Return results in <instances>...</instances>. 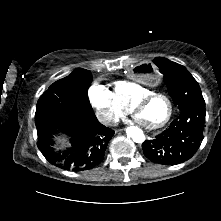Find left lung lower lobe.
Wrapping results in <instances>:
<instances>
[{"instance_id": "1", "label": "left lung lower lobe", "mask_w": 221, "mask_h": 221, "mask_svg": "<svg viewBox=\"0 0 221 221\" xmlns=\"http://www.w3.org/2000/svg\"><path fill=\"white\" fill-rule=\"evenodd\" d=\"M205 116V103L182 109L168 129L142 144L144 155L163 165H177L189 160L203 140Z\"/></svg>"}]
</instances>
